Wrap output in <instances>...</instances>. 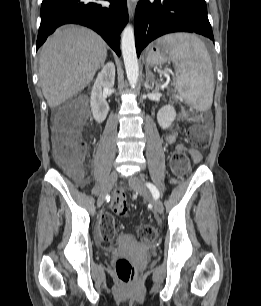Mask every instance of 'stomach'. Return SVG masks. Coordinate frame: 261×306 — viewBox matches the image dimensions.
Instances as JSON below:
<instances>
[{"mask_svg": "<svg viewBox=\"0 0 261 306\" xmlns=\"http://www.w3.org/2000/svg\"><path fill=\"white\" fill-rule=\"evenodd\" d=\"M169 52L170 49L165 44L151 46L145 53L146 64L158 66L166 63L170 59Z\"/></svg>", "mask_w": 261, "mask_h": 306, "instance_id": "obj_1", "label": "stomach"}]
</instances>
